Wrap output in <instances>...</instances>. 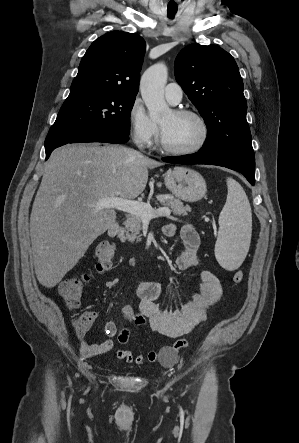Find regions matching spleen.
<instances>
[{"label":"spleen","instance_id":"1","mask_svg":"<svg viewBox=\"0 0 299 443\" xmlns=\"http://www.w3.org/2000/svg\"><path fill=\"white\" fill-rule=\"evenodd\" d=\"M227 187L226 203L219 216L215 256L224 269L233 271L241 266L249 250L252 212L242 186L227 178Z\"/></svg>","mask_w":299,"mask_h":443}]
</instances>
